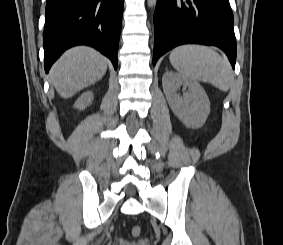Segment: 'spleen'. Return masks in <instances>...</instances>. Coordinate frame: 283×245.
<instances>
[{
    "label": "spleen",
    "instance_id": "spleen-1",
    "mask_svg": "<svg viewBox=\"0 0 283 245\" xmlns=\"http://www.w3.org/2000/svg\"><path fill=\"white\" fill-rule=\"evenodd\" d=\"M169 60L190 80L210 83L221 91H228L232 84L230 64L211 47L181 45L171 51Z\"/></svg>",
    "mask_w": 283,
    "mask_h": 245
}]
</instances>
